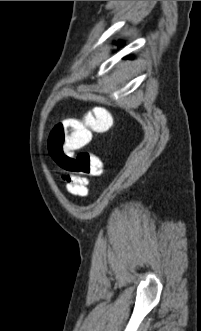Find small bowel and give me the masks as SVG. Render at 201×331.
<instances>
[{
  "label": "small bowel",
  "instance_id": "1",
  "mask_svg": "<svg viewBox=\"0 0 201 331\" xmlns=\"http://www.w3.org/2000/svg\"><path fill=\"white\" fill-rule=\"evenodd\" d=\"M66 183V190L74 196L85 197L88 194V180L74 174H66L63 176Z\"/></svg>",
  "mask_w": 201,
  "mask_h": 331
}]
</instances>
